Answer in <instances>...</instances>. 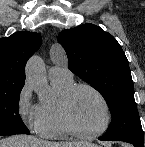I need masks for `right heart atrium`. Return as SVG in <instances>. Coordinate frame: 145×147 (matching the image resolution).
<instances>
[{
  "label": "right heart atrium",
  "instance_id": "d8ad5b80",
  "mask_svg": "<svg viewBox=\"0 0 145 147\" xmlns=\"http://www.w3.org/2000/svg\"><path fill=\"white\" fill-rule=\"evenodd\" d=\"M16 109L23 124L34 132L39 131L41 113L39 105L32 101V91L29 83H24L18 92Z\"/></svg>",
  "mask_w": 145,
  "mask_h": 147
}]
</instances>
